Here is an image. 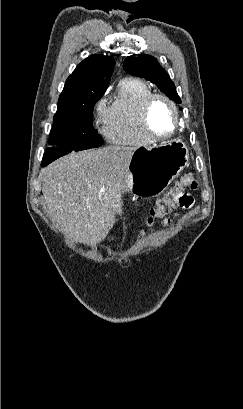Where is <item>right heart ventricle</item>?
<instances>
[{
	"label": "right heart ventricle",
	"instance_id": "right-heart-ventricle-1",
	"mask_svg": "<svg viewBox=\"0 0 243 409\" xmlns=\"http://www.w3.org/2000/svg\"><path fill=\"white\" fill-rule=\"evenodd\" d=\"M150 87L134 78L122 79L109 106L107 138L115 144L145 146L153 142L145 133L140 117L143 100Z\"/></svg>",
	"mask_w": 243,
	"mask_h": 409
}]
</instances>
